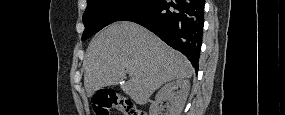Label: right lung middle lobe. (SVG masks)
Listing matches in <instances>:
<instances>
[{
	"mask_svg": "<svg viewBox=\"0 0 285 115\" xmlns=\"http://www.w3.org/2000/svg\"><path fill=\"white\" fill-rule=\"evenodd\" d=\"M155 0H87L83 15L85 30L82 40L90 38L108 24L123 20L126 16L141 10Z\"/></svg>",
	"mask_w": 285,
	"mask_h": 115,
	"instance_id": "dd1d6c3e",
	"label": "right lung middle lobe"
}]
</instances>
